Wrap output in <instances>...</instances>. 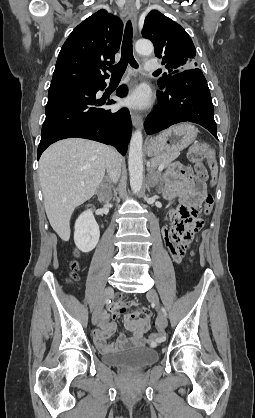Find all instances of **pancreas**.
I'll use <instances>...</instances> for the list:
<instances>
[{
    "instance_id": "1",
    "label": "pancreas",
    "mask_w": 255,
    "mask_h": 418,
    "mask_svg": "<svg viewBox=\"0 0 255 418\" xmlns=\"http://www.w3.org/2000/svg\"><path fill=\"white\" fill-rule=\"evenodd\" d=\"M178 156H179L178 152L159 155L151 159V164L154 168L159 167L160 165H164V167H168Z\"/></svg>"
}]
</instances>
